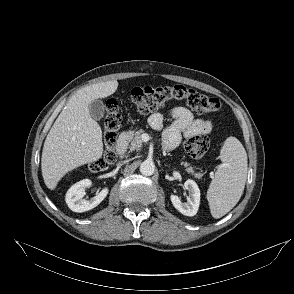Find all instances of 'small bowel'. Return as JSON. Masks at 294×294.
<instances>
[{
  "mask_svg": "<svg viewBox=\"0 0 294 294\" xmlns=\"http://www.w3.org/2000/svg\"><path fill=\"white\" fill-rule=\"evenodd\" d=\"M170 116L173 122L163 131V144L167 150L177 147L182 137L208 134L214 129L213 121L195 119L192 112L183 106L172 107ZM148 121L155 130L163 128L164 118L161 113L152 114Z\"/></svg>",
  "mask_w": 294,
  "mask_h": 294,
  "instance_id": "1",
  "label": "small bowel"
}]
</instances>
